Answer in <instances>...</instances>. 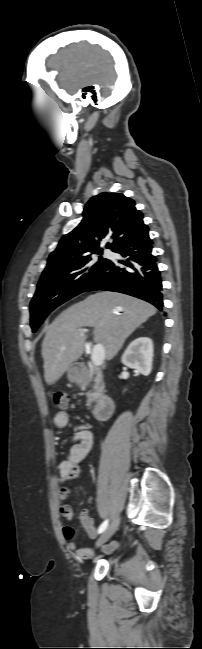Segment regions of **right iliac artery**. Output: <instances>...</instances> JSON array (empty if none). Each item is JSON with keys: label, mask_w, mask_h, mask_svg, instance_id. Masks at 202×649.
<instances>
[{"label": "right iliac artery", "mask_w": 202, "mask_h": 649, "mask_svg": "<svg viewBox=\"0 0 202 649\" xmlns=\"http://www.w3.org/2000/svg\"><path fill=\"white\" fill-rule=\"evenodd\" d=\"M108 522H109L108 520H105V521L100 525V527L98 528V533H99V534L102 533V532H104V530H105V529L107 528V526H108Z\"/></svg>", "instance_id": "obj_1"}]
</instances>
